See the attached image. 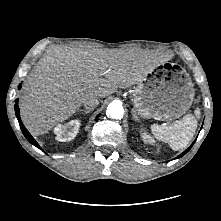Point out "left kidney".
Masks as SVG:
<instances>
[{
	"instance_id": "1",
	"label": "left kidney",
	"mask_w": 221,
	"mask_h": 221,
	"mask_svg": "<svg viewBox=\"0 0 221 221\" xmlns=\"http://www.w3.org/2000/svg\"><path fill=\"white\" fill-rule=\"evenodd\" d=\"M141 138L144 143L154 144V139L145 131H141Z\"/></svg>"
}]
</instances>
